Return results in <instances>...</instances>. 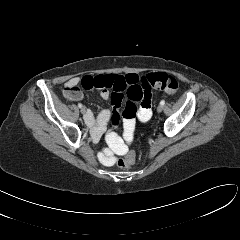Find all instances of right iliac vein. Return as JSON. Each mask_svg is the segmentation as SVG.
I'll use <instances>...</instances> for the list:
<instances>
[{
    "instance_id": "1",
    "label": "right iliac vein",
    "mask_w": 240,
    "mask_h": 240,
    "mask_svg": "<svg viewBox=\"0 0 240 240\" xmlns=\"http://www.w3.org/2000/svg\"><path fill=\"white\" fill-rule=\"evenodd\" d=\"M80 111H81L82 114H85L86 113L85 107H82Z\"/></svg>"
}]
</instances>
